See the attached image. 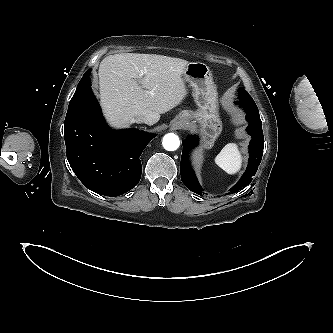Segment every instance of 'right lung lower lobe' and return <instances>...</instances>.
Listing matches in <instances>:
<instances>
[{
    "label": "right lung lower lobe",
    "mask_w": 333,
    "mask_h": 333,
    "mask_svg": "<svg viewBox=\"0 0 333 333\" xmlns=\"http://www.w3.org/2000/svg\"><path fill=\"white\" fill-rule=\"evenodd\" d=\"M156 134L127 129L112 131L105 123L88 76L69 104L64 122L67 159L91 191L119 196L141 177L140 156Z\"/></svg>",
    "instance_id": "1"
}]
</instances>
